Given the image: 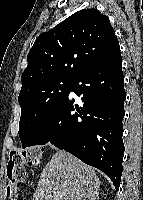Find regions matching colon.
I'll use <instances>...</instances> for the list:
<instances>
[{"mask_svg": "<svg viewBox=\"0 0 143 200\" xmlns=\"http://www.w3.org/2000/svg\"><path fill=\"white\" fill-rule=\"evenodd\" d=\"M43 159V149L28 147L10 152L6 166V197L7 200H17L18 185L25 178V168H37Z\"/></svg>", "mask_w": 143, "mask_h": 200, "instance_id": "5ec220e1", "label": "colon"}]
</instances>
